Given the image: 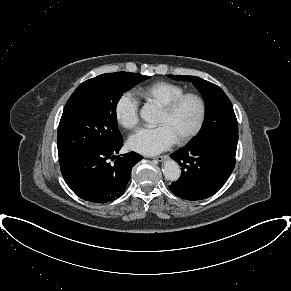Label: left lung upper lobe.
<instances>
[{
    "label": "left lung upper lobe",
    "instance_id": "5c2ea615",
    "mask_svg": "<svg viewBox=\"0 0 291 291\" xmlns=\"http://www.w3.org/2000/svg\"><path fill=\"white\" fill-rule=\"evenodd\" d=\"M168 76L175 80L192 81L206 102L203 127L190 142H201L209 136L222 132L238 133V123L232 103L220 87L195 76Z\"/></svg>",
    "mask_w": 291,
    "mask_h": 291
}]
</instances>
